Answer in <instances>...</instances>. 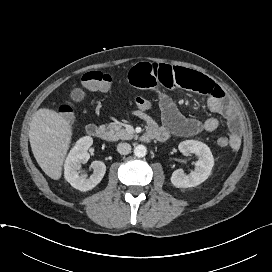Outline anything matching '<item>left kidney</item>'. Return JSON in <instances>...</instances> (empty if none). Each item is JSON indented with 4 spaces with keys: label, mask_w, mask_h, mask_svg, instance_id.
Listing matches in <instances>:
<instances>
[{
    "label": "left kidney",
    "mask_w": 272,
    "mask_h": 272,
    "mask_svg": "<svg viewBox=\"0 0 272 272\" xmlns=\"http://www.w3.org/2000/svg\"><path fill=\"white\" fill-rule=\"evenodd\" d=\"M183 154H196L198 161L195 162V169L189 174L183 170H176L171 176V183L177 188L195 187L204 182L211 174L214 166V158L210 148L203 142L197 140H186L178 146Z\"/></svg>",
    "instance_id": "5707ae66"
}]
</instances>
